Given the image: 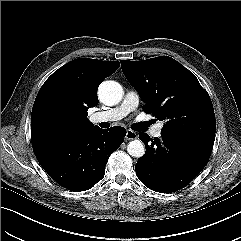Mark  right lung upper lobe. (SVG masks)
Masks as SVG:
<instances>
[{"instance_id": "right-lung-upper-lobe-1", "label": "right lung upper lobe", "mask_w": 241, "mask_h": 241, "mask_svg": "<svg viewBox=\"0 0 241 241\" xmlns=\"http://www.w3.org/2000/svg\"><path fill=\"white\" fill-rule=\"evenodd\" d=\"M120 64L89 58L72 60L43 84L31 113L32 146L55 143L94 126L87 111L98 103L96 89Z\"/></svg>"}]
</instances>
